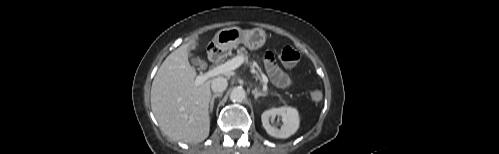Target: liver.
<instances>
[{"instance_id":"obj_1","label":"liver","mask_w":499,"mask_h":154,"mask_svg":"<svg viewBox=\"0 0 499 154\" xmlns=\"http://www.w3.org/2000/svg\"><path fill=\"white\" fill-rule=\"evenodd\" d=\"M192 40L174 50L158 69L151 87V108L161 130L172 140L198 143L210 131L208 80L195 84L188 57Z\"/></svg>"}]
</instances>
